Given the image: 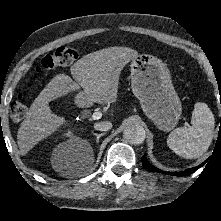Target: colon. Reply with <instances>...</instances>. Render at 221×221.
<instances>
[{"label": "colon", "mask_w": 221, "mask_h": 221, "mask_svg": "<svg viewBox=\"0 0 221 221\" xmlns=\"http://www.w3.org/2000/svg\"><path fill=\"white\" fill-rule=\"evenodd\" d=\"M78 59L77 51L71 46H60L52 53L46 55L36 66L37 72L53 71L59 67L72 65ZM27 113V106L21 97H17L10 108V115L14 121H21Z\"/></svg>", "instance_id": "1"}]
</instances>
